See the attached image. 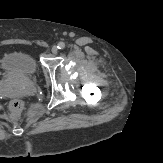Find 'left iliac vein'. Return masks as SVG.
<instances>
[{"instance_id": "left-iliac-vein-1", "label": "left iliac vein", "mask_w": 163, "mask_h": 163, "mask_svg": "<svg viewBox=\"0 0 163 163\" xmlns=\"http://www.w3.org/2000/svg\"><path fill=\"white\" fill-rule=\"evenodd\" d=\"M51 52H52L53 54H57V52H58V47H57V46H53L52 49H51Z\"/></svg>"}]
</instances>
